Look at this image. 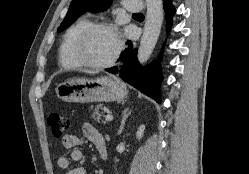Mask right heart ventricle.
Wrapping results in <instances>:
<instances>
[{"label": "right heart ventricle", "instance_id": "right-heart-ventricle-1", "mask_svg": "<svg viewBox=\"0 0 249 174\" xmlns=\"http://www.w3.org/2000/svg\"><path fill=\"white\" fill-rule=\"evenodd\" d=\"M90 24L87 19H80L75 22L65 33L59 49V61L62 67L69 70H76L81 67L74 56V45L85 27Z\"/></svg>", "mask_w": 249, "mask_h": 174}]
</instances>
